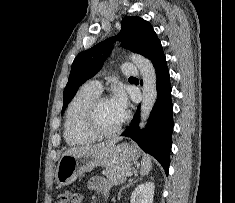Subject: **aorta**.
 Returning a JSON list of instances; mask_svg holds the SVG:
<instances>
[{"label": "aorta", "instance_id": "aorta-1", "mask_svg": "<svg viewBox=\"0 0 235 203\" xmlns=\"http://www.w3.org/2000/svg\"><path fill=\"white\" fill-rule=\"evenodd\" d=\"M132 62L138 67L142 80V103L140 113V128H143L157 99V78L156 72L151 61L141 55L132 54Z\"/></svg>", "mask_w": 235, "mask_h": 203}]
</instances>
